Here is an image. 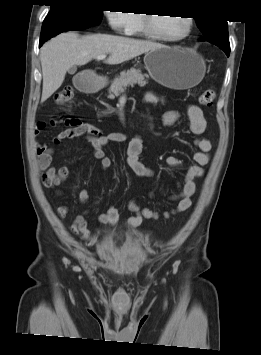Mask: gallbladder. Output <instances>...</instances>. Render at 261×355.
<instances>
[{
  "instance_id": "gallbladder-1",
  "label": "gallbladder",
  "mask_w": 261,
  "mask_h": 355,
  "mask_svg": "<svg viewBox=\"0 0 261 355\" xmlns=\"http://www.w3.org/2000/svg\"><path fill=\"white\" fill-rule=\"evenodd\" d=\"M76 70H77L76 66H73V67H71V68L68 70V72H69L70 74H73V73L76 72Z\"/></svg>"
}]
</instances>
